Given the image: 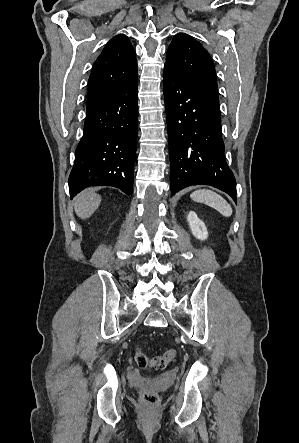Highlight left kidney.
I'll return each mask as SVG.
<instances>
[{
    "instance_id": "1",
    "label": "left kidney",
    "mask_w": 299,
    "mask_h": 443,
    "mask_svg": "<svg viewBox=\"0 0 299 443\" xmlns=\"http://www.w3.org/2000/svg\"><path fill=\"white\" fill-rule=\"evenodd\" d=\"M192 234L199 240H206L208 237L207 228L202 220H200L194 211H190L187 215Z\"/></svg>"
}]
</instances>
